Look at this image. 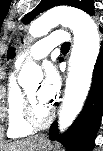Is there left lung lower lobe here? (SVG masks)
<instances>
[{
    "mask_svg": "<svg viewBox=\"0 0 103 151\" xmlns=\"http://www.w3.org/2000/svg\"><path fill=\"white\" fill-rule=\"evenodd\" d=\"M102 32V29L100 28ZM103 44V43H101ZM63 61V59H61ZM103 113V47L97 58L93 80L85 105L62 137V144L68 151H91L94 140L100 126ZM50 139L58 137L57 122H54L49 130Z\"/></svg>",
    "mask_w": 103,
    "mask_h": 151,
    "instance_id": "0a47b994",
    "label": "left lung lower lobe"
}]
</instances>
